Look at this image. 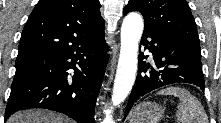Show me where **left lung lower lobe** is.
I'll return each mask as SVG.
<instances>
[{
    "instance_id": "left-lung-lower-lobe-1",
    "label": "left lung lower lobe",
    "mask_w": 221,
    "mask_h": 123,
    "mask_svg": "<svg viewBox=\"0 0 221 123\" xmlns=\"http://www.w3.org/2000/svg\"><path fill=\"white\" fill-rule=\"evenodd\" d=\"M141 44L153 54L154 62L146 63L144 59L148 56L139 55L138 74L125 117L140 97L159 87L184 82L204 90L200 46L183 43L148 28H144Z\"/></svg>"
}]
</instances>
